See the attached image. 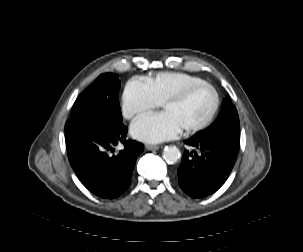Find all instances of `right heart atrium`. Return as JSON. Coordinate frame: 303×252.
Wrapping results in <instances>:
<instances>
[{
    "mask_svg": "<svg viewBox=\"0 0 303 252\" xmlns=\"http://www.w3.org/2000/svg\"><path fill=\"white\" fill-rule=\"evenodd\" d=\"M155 104L151 101L146 87L139 79H133L126 89L121 110L124 118L134 120L153 110Z\"/></svg>",
    "mask_w": 303,
    "mask_h": 252,
    "instance_id": "right-heart-atrium-1",
    "label": "right heart atrium"
}]
</instances>
